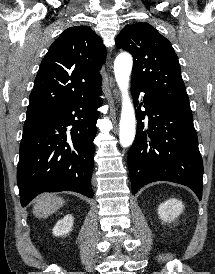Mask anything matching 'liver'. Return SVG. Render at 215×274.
I'll use <instances>...</instances> for the list:
<instances>
[{"label":"liver","mask_w":215,"mask_h":274,"mask_svg":"<svg viewBox=\"0 0 215 274\" xmlns=\"http://www.w3.org/2000/svg\"><path fill=\"white\" fill-rule=\"evenodd\" d=\"M61 197H53L49 195L42 196L33 207V213L37 217L46 218L55 213L64 205Z\"/></svg>","instance_id":"obj_1"}]
</instances>
